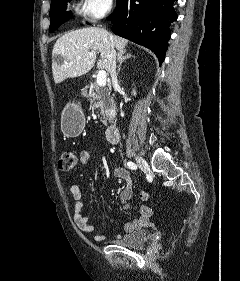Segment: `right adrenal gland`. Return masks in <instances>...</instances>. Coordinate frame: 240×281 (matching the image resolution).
I'll use <instances>...</instances> for the list:
<instances>
[{
  "label": "right adrenal gland",
  "instance_id": "right-adrenal-gland-1",
  "mask_svg": "<svg viewBox=\"0 0 240 281\" xmlns=\"http://www.w3.org/2000/svg\"><path fill=\"white\" fill-rule=\"evenodd\" d=\"M133 57L131 53H126V50L117 53V61L119 62L117 73L120 72L122 63Z\"/></svg>",
  "mask_w": 240,
  "mask_h": 281
}]
</instances>
